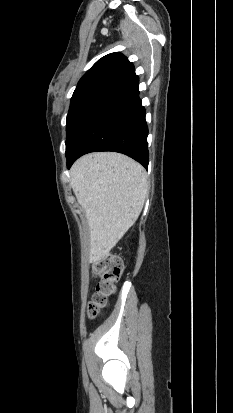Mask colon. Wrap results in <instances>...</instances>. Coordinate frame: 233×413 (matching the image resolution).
<instances>
[{"instance_id":"obj_1","label":"colon","mask_w":233,"mask_h":413,"mask_svg":"<svg viewBox=\"0 0 233 413\" xmlns=\"http://www.w3.org/2000/svg\"><path fill=\"white\" fill-rule=\"evenodd\" d=\"M122 261L119 257L110 255L94 263L92 273L100 278L96 291L88 306V315L95 318L104 308L109 297L114 293L116 283L122 274Z\"/></svg>"}]
</instances>
